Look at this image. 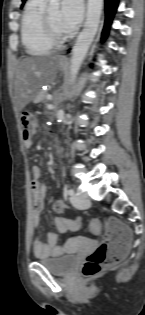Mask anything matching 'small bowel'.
Masks as SVG:
<instances>
[{
	"mask_svg": "<svg viewBox=\"0 0 145 315\" xmlns=\"http://www.w3.org/2000/svg\"><path fill=\"white\" fill-rule=\"evenodd\" d=\"M25 148L29 149L33 146V140L28 139L24 142ZM41 170L38 166L31 168V192L33 195V226L37 227L40 224V215L44 208V200L47 195V187L40 182ZM58 208L67 209V205L63 200L58 201ZM54 225L60 233L67 231H76L80 227L79 218H63L56 217L54 219ZM64 249L59 245V236L56 233L48 232L46 234V240L43 241L40 237L33 239V253L39 258L48 256L58 257L62 255Z\"/></svg>",
	"mask_w": 145,
	"mask_h": 315,
	"instance_id": "c3829d8e",
	"label": "small bowel"
}]
</instances>
